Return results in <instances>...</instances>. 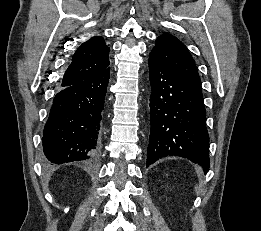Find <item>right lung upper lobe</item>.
Wrapping results in <instances>:
<instances>
[{
    "instance_id": "obj_1",
    "label": "right lung upper lobe",
    "mask_w": 261,
    "mask_h": 231,
    "mask_svg": "<svg viewBox=\"0 0 261 231\" xmlns=\"http://www.w3.org/2000/svg\"><path fill=\"white\" fill-rule=\"evenodd\" d=\"M109 47L101 36L91 37L82 43L64 73L61 86L73 85L106 69L109 65Z\"/></svg>"
}]
</instances>
